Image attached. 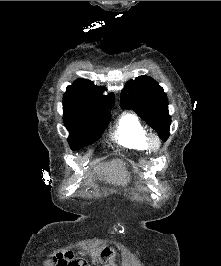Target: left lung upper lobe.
Wrapping results in <instances>:
<instances>
[{"label":"left lung upper lobe","mask_w":221,"mask_h":266,"mask_svg":"<svg viewBox=\"0 0 221 266\" xmlns=\"http://www.w3.org/2000/svg\"><path fill=\"white\" fill-rule=\"evenodd\" d=\"M121 106L132 108L160 138L164 141L168 139L171 117L168 114L167 95L154 79L139 76L128 81L121 94Z\"/></svg>","instance_id":"1"}]
</instances>
